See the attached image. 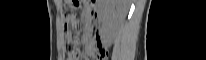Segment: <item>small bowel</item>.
<instances>
[{
	"mask_svg": "<svg viewBox=\"0 0 206 60\" xmlns=\"http://www.w3.org/2000/svg\"><path fill=\"white\" fill-rule=\"evenodd\" d=\"M87 51L89 55H93L95 52V48L92 45V43H89L88 47H87ZM77 58H70V60H76Z\"/></svg>",
	"mask_w": 206,
	"mask_h": 60,
	"instance_id": "obj_1",
	"label": "small bowel"
}]
</instances>
